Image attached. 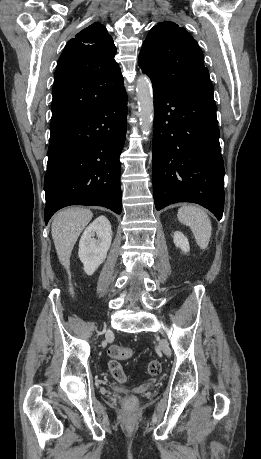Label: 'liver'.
Returning a JSON list of instances; mask_svg holds the SVG:
<instances>
[{
    "label": "liver",
    "mask_w": 261,
    "mask_h": 459,
    "mask_svg": "<svg viewBox=\"0 0 261 459\" xmlns=\"http://www.w3.org/2000/svg\"><path fill=\"white\" fill-rule=\"evenodd\" d=\"M93 213L86 208L73 207L58 212L52 222L51 233L60 263L68 269L73 247Z\"/></svg>",
    "instance_id": "obj_1"
}]
</instances>
